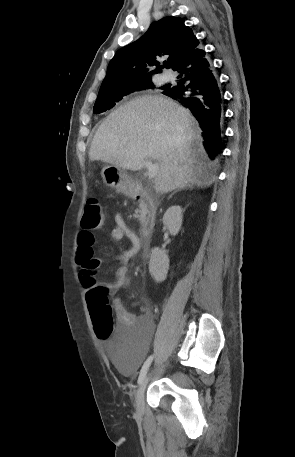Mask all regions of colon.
<instances>
[{
    "instance_id": "1",
    "label": "colon",
    "mask_w": 295,
    "mask_h": 457,
    "mask_svg": "<svg viewBox=\"0 0 295 457\" xmlns=\"http://www.w3.org/2000/svg\"><path fill=\"white\" fill-rule=\"evenodd\" d=\"M82 227L88 230H100L106 224V216L101 201L91 197L85 204L82 217ZM80 265V276L82 282L90 286L87 292V303L95 332L100 339H107L113 331L112 308L107 298V290L101 286L94 285V266L85 257L77 259Z\"/></svg>"
}]
</instances>
